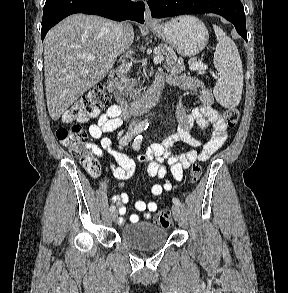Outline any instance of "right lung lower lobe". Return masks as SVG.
Returning <instances> with one entry per match:
<instances>
[{
  "instance_id": "1",
  "label": "right lung lower lobe",
  "mask_w": 288,
  "mask_h": 293,
  "mask_svg": "<svg viewBox=\"0 0 288 293\" xmlns=\"http://www.w3.org/2000/svg\"><path fill=\"white\" fill-rule=\"evenodd\" d=\"M143 2L130 0H46L42 18V41L47 32L63 18L74 14H94L116 21L135 20L144 23Z\"/></svg>"
}]
</instances>
